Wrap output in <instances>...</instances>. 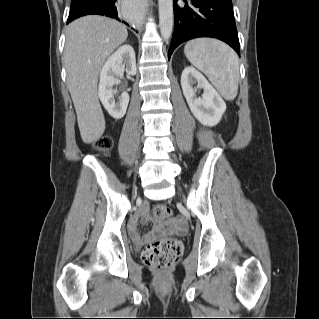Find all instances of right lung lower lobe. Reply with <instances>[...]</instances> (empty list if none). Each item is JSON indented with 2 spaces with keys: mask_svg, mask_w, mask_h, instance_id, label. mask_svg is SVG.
I'll return each instance as SVG.
<instances>
[{
  "mask_svg": "<svg viewBox=\"0 0 319 319\" xmlns=\"http://www.w3.org/2000/svg\"><path fill=\"white\" fill-rule=\"evenodd\" d=\"M117 5L118 0H72L67 23L79 17L93 14L105 15L120 21Z\"/></svg>",
  "mask_w": 319,
  "mask_h": 319,
  "instance_id": "right-lung-lower-lobe-1",
  "label": "right lung lower lobe"
}]
</instances>
